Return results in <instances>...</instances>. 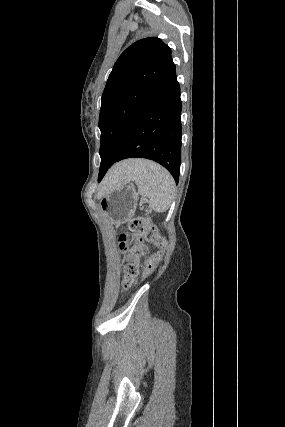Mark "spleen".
I'll return each instance as SVG.
<instances>
[{
  "mask_svg": "<svg viewBox=\"0 0 285 427\" xmlns=\"http://www.w3.org/2000/svg\"><path fill=\"white\" fill-rule=\"evenodd\" d=\"M130 181H134L139 194L149 198V205L155 212L166 211L174 197L175 182L171 174L159 164L141 160Z\"/></svg>",
  "mask_w": 285,
  "mask_h": 427,
  "instance_id": "3e777b00",
  "label": "spleen"
}]
</instances>
